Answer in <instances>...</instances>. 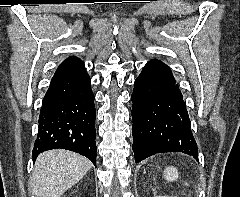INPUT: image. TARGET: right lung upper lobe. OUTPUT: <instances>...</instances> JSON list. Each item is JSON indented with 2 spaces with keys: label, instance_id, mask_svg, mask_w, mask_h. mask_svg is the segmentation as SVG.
Returning <instances> with one entry per match:
<instances>
[{
  "label": "right lung upper lobe",
  "instance_id": "cb5924a9",
  "mask_svg": "<svg viewBox=\"0 0 240 197\" xmlns=\"http://www.w3.org/2000/svg\"><path fill=\"white\" fill-rule=\"evenodd\" d=\"M84 63L81 61V59L77 57H69L66 60H64L61 65L58 67V69L61 68H68V67H77V66H82Z\"/></svg>",
  "mask_w": 240,
  "mask_h": 197
}]
</instances>
